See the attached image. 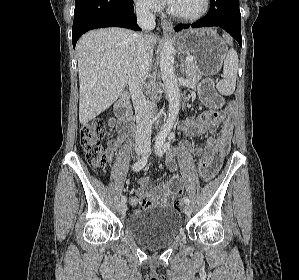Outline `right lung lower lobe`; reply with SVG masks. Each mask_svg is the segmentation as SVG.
Masks as SVG:
<instances>
[{
	"label": "right lung lower lobe",
	"instance_id": "right-lung-lower-lobe-1",
	"mask_svg": "<svg viewBox=\"0 0 299 280\" xmlns=\"http://www.w3.org/2000/svg\"><path fill=\"white\" fill-rule=\"evenodd\" d=\"M104 27H123L140 31L133 0H75L72 28L74 48L82 34Z\"/></svg>",
	"mask_w": 299,
	"mask_h": 280
}]
</instances>
